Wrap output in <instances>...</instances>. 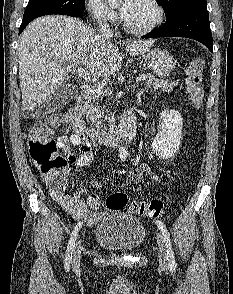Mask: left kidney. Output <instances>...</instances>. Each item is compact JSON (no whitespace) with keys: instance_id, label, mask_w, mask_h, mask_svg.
Segmentation results:
<instances>
[{"instance_id":"5707ae66","label":"left kidney","mask_w":233,"mask_h":294,"mask_svg":"<svg viewBox=\"0 0 233 294\" xmlns=\"http://www.w3.org/2000/svg\"><path fill=\"white\" fill-rule=\"evenodd\" d=\"M161 131L153 140L152 148L163 159L172 158L178 151L182 138L183 119L176 110L165 109L160 113Z\"/></svg>"}]
</instances>
